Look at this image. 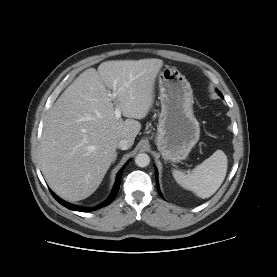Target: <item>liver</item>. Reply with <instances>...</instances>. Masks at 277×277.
I'll return each instance as SVG.
<instances>
[{
	"mask_svg": "<svg viewBox=\"0 0 277 277\" xmlns=\"http://www.w3.org/2000/svg\"><path fill=\"white\" fill-rule=\"evenodd\" d=\"M161 59L114 60L82 72L49 111L41 141V169L52 190L69 201L86 199L101 184L117 143L131 146L154 101ZM116 93L117 119L109 96Z\"/></svg>",
	"mask_w": 277,
	"mask_h": 277,
	"instance_id": "6515ba94",
	"label": "liver"
}]
</instances>
